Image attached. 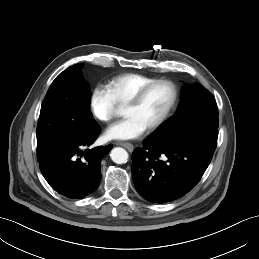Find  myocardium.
<instances>
[{
	"instance_id": "1",
	"label": "myocardium",
	"mask_w": 259,
	"mask_h": 259,
	"mask_svg": "<svg viewBox=\"0 0 259 259\" xmlns=\"http://www.w3.org/2000/svg\"><path fill=\"white\" fill-rule=\"evenodd\" d=\"M158 84H165V85L169 86L171 89L172 95H171V99H170L168 106L166 107L165 111L160 116V118L157 119L153 124H151L150 126H148L146 128V130L148 132H152V131L158 129L159 127H161L165 123V121L168 119V117L172 113L173 109L175 108L176 103L178 101V96H179V91H178L176 84L173 81L168 80V79H156V80L148 83L147 85L143 86L141 89H139L124 104L125 107H133V106L138 105L143 100V98L148 93V91Z\"/></svg>"
}]
</instances>
